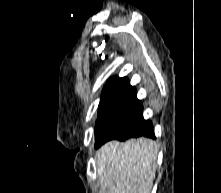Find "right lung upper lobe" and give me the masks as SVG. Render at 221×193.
<instances>
[{"label": "right lung upper lobe", "mask_w": 221, "mask_h": 193, "mask_svg": "<svg viewBox=\"0 0 221 193\" xmlns=\"http://www.w3.org/2000/svg\"><path fill=\"white\" fill-rule=\"evenodd\" d=\"M126 102H140L136 98V90L126 77H114L108 81L103 90L98 111Z\"/></svg>", "instance_id": "1"}]
</instances>
